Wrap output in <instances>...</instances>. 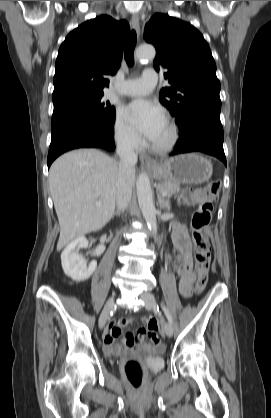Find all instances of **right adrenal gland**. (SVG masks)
I'll use <instances>...</instances> for the list:
<instances>
[{
    "label": "right adrenal gland",
    "instance_id": "obj_1",
    "mask_svg": "<svg viewBox=\"0 0 271 418\" xmlns=\"http://www.w3.org/2000/svg\"><path fill=\"white\" fill-rule=\"evenodd\" d=\"M115 215H119V211H117V212L115 213Z\"/></svg>",
    "mask_w": 271,
    "mask_h": 418
}]
</instances>
